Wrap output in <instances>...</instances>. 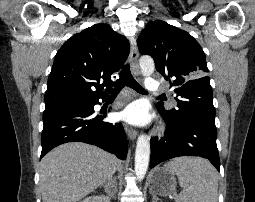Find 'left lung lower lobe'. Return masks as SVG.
Returning a JSON list of instances; mask_svg holds the SVG:
<instances>
[{
  "label": "left lung lower lobe",
  "instance_id": "obj_1",
  "mask_svg": "<svg viewBox=\"0 0 255 202\" xmlns=\"http://www.w3.org/2000/svg\"><path fill=\"white\" fill-rule=\"evenodd\" d=\"M163 118L167 130L162 139H151L150 168L165 160L188 155L207 158L220 171L215 124L199 119L175 123Z\"/></svg>",
  "mask_w": 255,
  "mask_h": 202
}]
</instances>
